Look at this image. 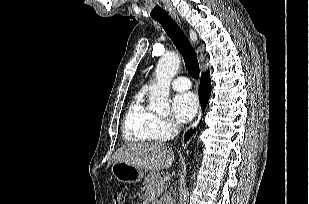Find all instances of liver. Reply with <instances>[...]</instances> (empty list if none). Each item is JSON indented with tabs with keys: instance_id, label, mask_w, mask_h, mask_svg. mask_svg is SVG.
<instances>
[{
	"instance_id": "liver-1",
	"label": "liver",
	"mask_w": 309,
	"mask_h": 204,
	"mask_svg": "<svg viewBox=\"0 0 309 204\" xmlns=\"http://www.w3.org/2000/svg\"><path fill=\"white\" fill-rule=\"evenodd\" d=\"M174 159V152L164 143H131L120 147L111 163L125 162L139 169L159 171L171 167Z\"/></svg>"
}]
</instances>
